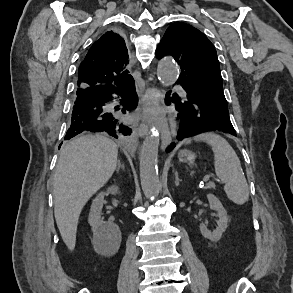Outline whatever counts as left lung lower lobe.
Listing matches in <instances>:
<instances>
[{"mask_svg":"<svg viewBox=\"0 0 293 293\" xmlns=\"http://www.w3.org/2000/svg\"><path fill=\"white\" fill-rule=\"evenodd\" d=\"M166 100L173 102L178 111L177 117L181 121L177 134L178 140L198 133L216 130L236 136L227 109L217 105H208L190 93H187L185 98L168 93ZM175 145V143H172L167 151L172 150Z\"/></svg>","mask_w":293,"mask_h":293,"instance_id":"1","label":"left lung lower lobe"}]
</instances>
